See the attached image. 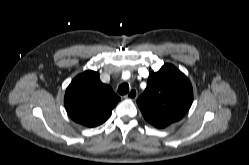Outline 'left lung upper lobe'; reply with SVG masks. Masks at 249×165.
I'll list each match as a JSON object with an SVG mask.
<instances>
[{
    "label": "left lung upper lobe",
    "instance_id": "left-lung-upper-lobe-1",
    "mask_svg": "<svg viewBox=\"0 0 249 165\" xmlns=\"http://www.w3.org/2000/svg\"><path fill=\"white\" fill-rule=\"evenodd\" d=\"M193 102V89L188 78L171 64L151 72L147 87L137 104L144 118L157 128L180 120Z\"/></svg>",
    "mask_w": 249,
    "mask_h": 165
}]
</instances>
